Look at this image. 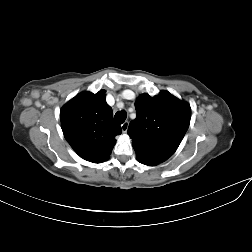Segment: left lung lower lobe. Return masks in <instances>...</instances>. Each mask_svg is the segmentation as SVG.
<instances>
[{"label": "left lung lower lobe", "instance_id": "1", "mask_svg": "<svg viewBox=\"0 0 252 252\" xmlns=\"http://www.w3.org/2000/svg\"><path fill=\"white\" fill-rule=\"evenodd\" d=\"M137 157V160L144 164V165H148V166H155L158 164V162L156 161H152V160H149V159H146V158H143V157H140V156H136Z\"/></svg>", "mask_w": 252, "mask_h": 252}]
</instances>
